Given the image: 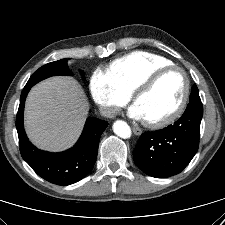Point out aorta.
I'll return each instance as SVG.
<instances>
[{
    "label": "aorta",
    "mask_w": 225,
    "mask_h": 225,
    "mask_svg": "<svg viewBox=\"0 0 225 225\" xmlns=\"http://www.w3.org/2000/svg\"><path fill=\"white\" fill-rule=\"evenodd\" d=\"M113 131L117 136L123 139H128L131 137V128L125 121H115L113 124Z\"/></svg>",
    "instance_id": "762f6f07"
}]
</instances>
